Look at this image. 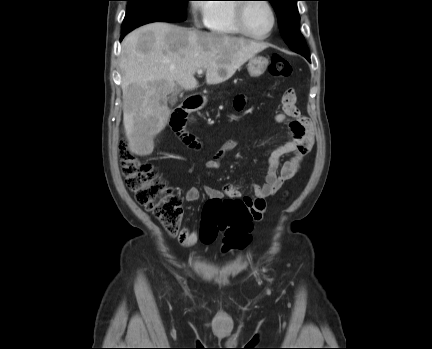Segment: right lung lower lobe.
<instances>
[{
  "label": "right lung lower lobe",
  "mask_w": 432,
  "mask_h": 349,
  "mask_svg": "<svg viewBox=\"0 0 432 349\" xmlns=\"http://www.w3.org/2000/svg\"><path fill=\"white\" fill-rule=\"evenodd\" d=\"M128 32H122L121 34V40L124 38V36L127 34Z\"/></svg>",
  "instance_id": "obj_1"
}]
</instances>
